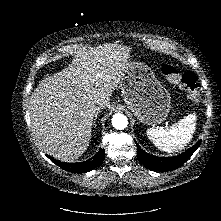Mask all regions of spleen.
<instances>
[{
	"instance_id": "spleen-1",
	"label": "spleen",
	"mask_w": 221,
	"mask_h": 221,
	"mask_svg": "<svg viewBox=\"0 0 221 221\" xmlns=\"http://www.w3.org/2000/svg\"><path fill=\"white\" fill-rule=\"evenodd\" d=\"M196 119L195 114H189L170 128H148L147 136L162 151H179L192 140L196 130Z\"/></svg>"
}]
</instances>
